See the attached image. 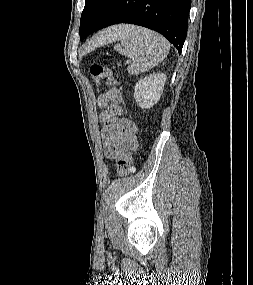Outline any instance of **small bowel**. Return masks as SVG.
I'll return each mask as SVG.
<instances>
[{"label":"small bowel","mask_w":253,"mask_h":285,"mask_svg":"<svg viewBox=\"0 0 253 285\" xmlns=\"http://www.w3.org/2000/svg\"><path fill=\"white\" fill-rule=\"evenodd\" d=\"M122 100L123 96L116 88L108 89L98 98L100 107L111 104L110 108L100 115L103 126L102 139L109 159L118 158L127 145L136 143V125L131 120L119 118L117 115V106Z\"/></svg>","instance_id":"1"}]
</instances>
